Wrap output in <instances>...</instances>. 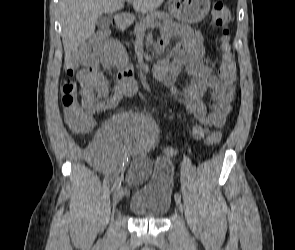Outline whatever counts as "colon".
Wrapping results in <instances>:
<instances>
[{
	"label": "colon",
	"instance_id": "obj_1",
	"mask_svg": "<svg viewBox=\"0 0 295 250\" xmlns=\"http://www.w3.org/2000/svg\"><path fill=\"white\" fill-rule=\"evenodd\" d=\"M231 15L227 6L222 2H215L211 10L212 23L222 29L220 36L221 65L219 76L226 85H234L236 80V61L231 46L230 23ZM105 30L97 32L88 43L78 52L95 54L101 52L108 39ZM61 104L64 118L67 124L75 131L86 133L93 129L94 120L92 115L98 113V109L86 106L79 100L78 84L72 77L64 81L61 87ZM207 144H211L209 138L205 139Z\"/></svg>",
	"mask_w": 295,
	"mask_h": 250
}]
</instances>
